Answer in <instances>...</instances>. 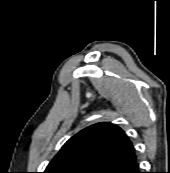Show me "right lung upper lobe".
Returning <instances> with one entry per match:
<instances>
[{"instance_id": "cb5924a9", "label": "right lung upper lobe", "mask_w": 170, "mask_h": 173, "mask_svg": "<svg viewBox=\"0 0 170 173\" xmlns=\"http://www.w3.org/2000/svg\"><path fill=\"white\" fill-rule=\"evenodd\" d=\"M134 156L133 144L120 127L106 122L97 123L71 137L48 164L44 173L69 170L103 173Z\"/></svg>"}]
</instances>
